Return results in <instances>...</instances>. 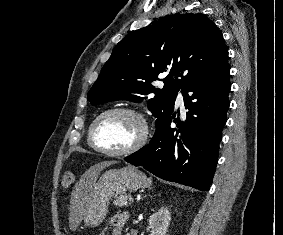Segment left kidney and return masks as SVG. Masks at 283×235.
<instances>
[{"instance_id": "left-kidney-1", "label": "left kidney", "mask_w": 283, "mask_h": 235, "mask_svg": "<svg viewBox=\"0 0 283 235\" xmlns=\"http://www.w3.org/2000/svg\"><path fill=\"white\" fill-rule=\"evenodd\" d=\"M170 220L169 210L164 207L160 208L149 217V227L151 229L149 235H166Z\"/></svg>"}]
</instances>
